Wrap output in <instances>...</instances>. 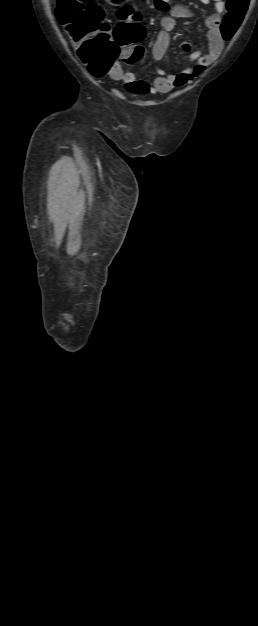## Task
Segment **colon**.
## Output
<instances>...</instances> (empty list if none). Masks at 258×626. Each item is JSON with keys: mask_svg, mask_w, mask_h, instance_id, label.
<instances>
[{"mask_svg": "<svg viewBox=\"0 0 258 626\" xmlns=\"http://www.w3.org/2000/svg\"><path fill=\"white\" fill-rule=\"evenodd\" d=\"M106 1L121 6L127 0ZM248 5L249 0L226 1V12L220 24L224 40L231 39L236 33ZM55 14L67 30L78 58L94 76L105 75L119 57L127 63H137L144 57V48L135 43L145 34L138 13L134 14V22L119 23L113 30L105 21L104 10L96 0H57ZM129 14L123 11L122 19ZM122 47H125L123 52Z\"/></svg>", "mask_w": 258, "mask_h": 626, "instance_id": "5ec220e1", "label": "colon"}]
</instances>
